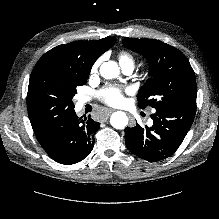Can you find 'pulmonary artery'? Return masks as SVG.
I'll return each mask as SVG.
<instances>
[{
  "label": "pulmonary artery",
  "mask_w": 219,
  "mask_h": 219,
  "mask_svg": "<svg viewBox=\"0 0 219 219\" xmlns=\"http://www.w3.org/2000/svg\"><path fill=\"white\" fill-rule=\"evenodd\" d=\"M133 69H134V66H133V65H126V66L122 67L123 72H124L125 74H127V75L131 74L132 71H133ZM89 100H90V99L87 98V97H81V98H80V103H81V105H83V104L89 102Z\"/></svg>",
  "instance_id": "e3ab8cb5"
}]
</instances>
